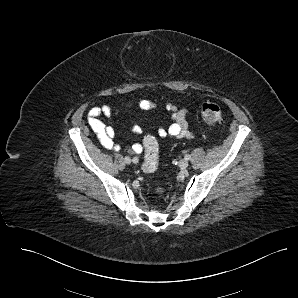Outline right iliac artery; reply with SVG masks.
Wrapping results in <instances>:
<instances>
[{"mask_svg": "<svg viewBox=\"0 0 298 298\" xmlns=\"http://www.w3.org/2000/svg\"><path fill=\"white\" fill-rule=\"evenodd\" d=\"M132 161H133L134 163H138V158H137V157H134V158L132 159Z\"/></svg>", "mask_w": 298, "mask_h": 298, "instance_id": "obj_1", "label": "right iliac artery"}]
</instances>
